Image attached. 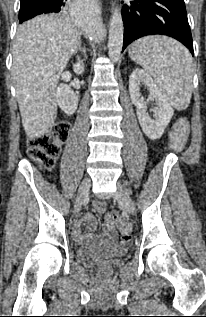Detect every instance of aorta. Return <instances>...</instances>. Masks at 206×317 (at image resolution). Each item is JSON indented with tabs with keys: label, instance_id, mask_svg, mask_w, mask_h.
Masks as SVG:
<instances>
[{
	"label": "aorta",
	"instance_id": "1",
	"mask_svg": "<svg viewBox=\"0 0 206 317\" xmlns=\"http://www.w3.org/2000/svg\"><path fill=\"white\" fill-rule=\"evenodd\" d=\"M78 24L83 30L90 34H98L99 20L94 17L93 13L88 9H84L77 19ZM124 25L121 10L115 8L112 12L109 25L108 55L113 61H117L120 57L123 47Z\"/></svg>",
	"mask_w": 206,
	"mask_h": 317
}]
</instances>
